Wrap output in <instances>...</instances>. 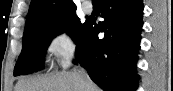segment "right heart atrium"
<instances>
[{
    "label": "right heart atrium",
    "mask_w": 173,
    "mask_h": 91,
    "mask_svg": "<svg viewBox=\"0 0 173 91\" xmlns=\"http://www.w3.org/2000/svg\"><path fill=\"white\" fill-rule=\"evenodd\" d=\"M77 48L78 42L76 37L67 30L59 31L54 34L47 44L49 53L63 68L70 65L76 54Z\"/></svg>",
    "instance_id": "obj_1"
}]
</instances>
